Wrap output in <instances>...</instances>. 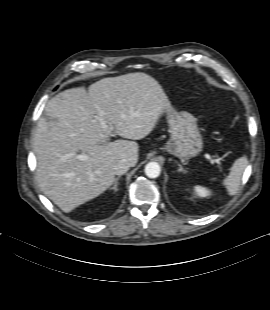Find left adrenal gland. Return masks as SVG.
<instances>
[{
    "label": "left adrenal gland",
    "instance_id": "a2214340",
    "mask_svg": "<svg viewBox=\"0 0 270 310\" xmlns=\"http://www.w3.org/2000/svg\"><path fill=\"white\" fill-rule=\"evenodd\" d=\"M176 163H177V165L179 166V169H178L179 172H184V173L187 172V170H185V169L182 167L181 164H179L178 162H176Z\"/></svg>",
    "mask_w": 270,
    "mask_h": 310
}]
</instances>
